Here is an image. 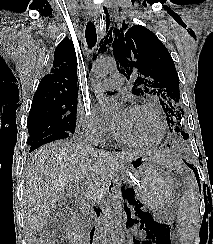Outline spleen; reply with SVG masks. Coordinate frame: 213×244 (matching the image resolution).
<instances>
[{"label": "spleen", "mask_w": 213, "mask_h": 244, "mask_svg": "<svg viewBox=\"0 0 213 244\" xmlns=\"http://www.w3.org/2000/svg\"><path fill=\"white\" fill-rule=\"evenodd\" d=\"M174 161L172 166L177 168ZM188 187L184 190L178 206V235L182 244H192L199 229V191L193 174L186 178Z\"/></svg>", "instance_id": "1"}]
</instances>
